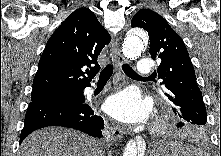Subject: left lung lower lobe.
I'll list each match as a JSON object with an SVG mask.
<instances>
[{
  "label": "left lung lower lobe",
  "instance_id": "1",
  "mask_svg": "<svg viewBox=\"0 0 221 156\" xmlns=\"http://www.w3.org/2000/svg\"><path fill=\"white\" fill-rule=\"evenodd\" d=\"M185 125V123H183V122H179V123H177V127H183ZM220 155H221V152H220Z\"/></svg>",
  "mask_w": 221,
  "mask_h": 156
}]
</instances>
